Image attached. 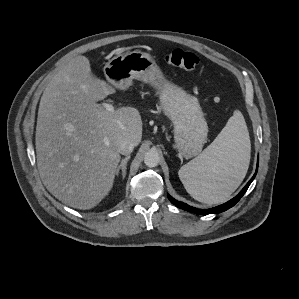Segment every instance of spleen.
<instances>
[{
  "instance_id": "spleen-1",
  "label": "spleen",
  "mask_w": 299,
  "mask_h": 299,
  "mask_svg": "<svg viewBox=\"0 0 299 299\" xmlns=\"http://www.w3.org/2000/svg\"><path fill=\"white\" fill-rule=\"evenodd\" d=\"M250 150L245 119L236 110L215 140L180 168L179 178L195 200L206 204L223 203L245 178Z\"/></svg>"
}]
</instances>
